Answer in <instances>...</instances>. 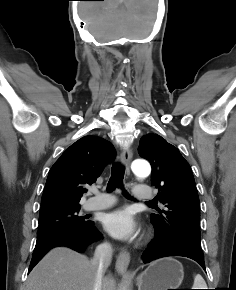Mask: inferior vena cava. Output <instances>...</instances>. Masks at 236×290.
I'll return each instance as SVG.
<instances>
[{"label":"inferior vena cava","instance_id":"1","mask_svg":"<svg viewBox=\"0 0 236 290\" xmlns=\"http://www.w3.org/2000/svg\"><path fill=\"white\" fill-rule=\"evenodd\" d=\"M112 247L109 243H102L97 246L91 264L97 268L94 290H101L102 280L105 271L112 260Z\"/></svg>","mask_w":236,"mask_h":290}]
</instances>
